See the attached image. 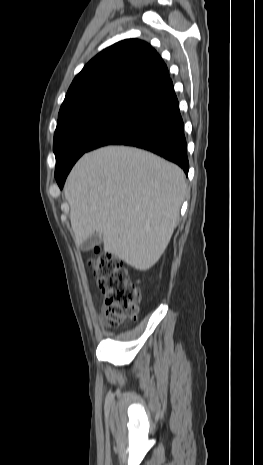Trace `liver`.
<instances>
[{"label":"liver","instance_id":"6515ba94","mask_svg":"<svg viewBox=\"0 0 263 465\" xmlns=\"http://www.w3.org/2000/svg\"><path fill=\"white\" fill-rule=\"evenodd\" d=\"M186 189L182 169L150 152L108 146L87 153L64 189L75 242L97 232L106 252L147 270L171 239Z\"/></svg>","mask_w":263,"mask_h":465}]
</instances>
